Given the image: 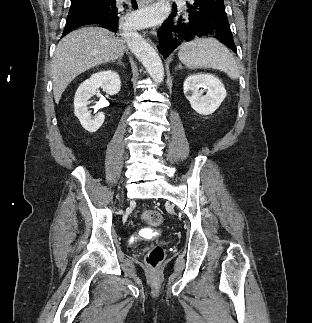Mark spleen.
Segmentation results:
<instances>
[{
    "instance_id": "1",
    "label": "spleen",
    "mask_w": 312,
    "mask_h": 323,
    "mask_svg": "<svg viewBox=\"0 0 312 323\" xmlns=\"http://www.w3.org/2000/svg\"><path fill=\"white\" fill-rule=\"evenodd\" d=\"M178 58L189 70L213 68L225 72L231 80L239 78L232 54L216 38H196L192 42H185L178 52Z\"/></svg>"
}]
</instances>
